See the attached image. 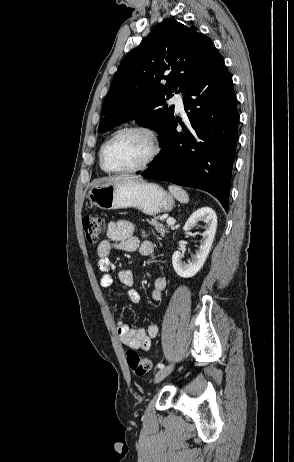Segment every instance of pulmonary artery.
Masks as SVG:
<instances>
[{"label": "pulmonary artery", "instance_id": "pulmonary-artery-1", "mask_svg": "<svg viewBox=\"0 0 294 462\" xmlns=\"http://www.w3.org/2000/svg\"><path fill=\"white\" fill-rule=\"evenodd\" d=\"M170 103L175 105L178 112L182 113L184 111V98L181 92L175 93L170 99Z\"/></svg>", "mask_w": 294, "mask_h": 462}]
</instances>
